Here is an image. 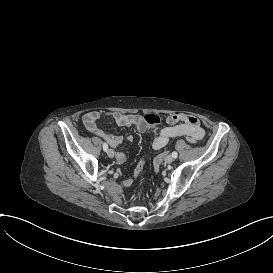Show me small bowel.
I'll return each instance as SVG.
<instances>
[{"instance_id":"c3829d8e","label":"small bowel","mask_w":273,"mask_h":273,"mask_svg":"<svg viewBox=\"0 0 273 273\" xmlns=\"http://www.w3.org/2000/svg\"><path fill=\"white\" fill-rule=\"evenodd\" d=\"M110 117L117 125L134 127L138 132H154L155 129L149 126L144 121V117L137 113H121V112H89L83 116V124L85 128L94 134L96 137L103 140L111 148L118 150L124 144L133 142V136L127 137L113 136L98 125V121L103 117ZM167 126L163 127L154 137L152 147L154 150H161L164 148L171 139L176 137H185L189 142L196 143L202 140L205 136V131L202 128L200 121L195 116L187 114H173L166 119ZM167 158L166 152H160L155 156L153 174L159 175L161 169L162 159ZM117 162L122 164L126 161V155L123 152H117ZM123 185L125 188L130 189L133 187L134 182L132 179L127 178L124 180Z\"/></svg>"}]
</instances>
